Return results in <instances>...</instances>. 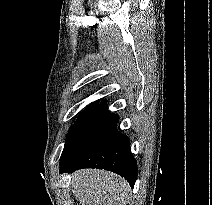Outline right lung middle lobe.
<instances>
[{
  "mask_svg": "<svg viewBox=\"0 0 212 205\" xmlns=\"http://www.w3.org/2000/svg\"><path fill=\"white\" fill-rule=\"evenodd\" d=\"M99 101H96L94 103H91L87 108L82 112V114L79 116L78 120L75 122L74 125L71 126L68 132V138L65 142L64 150L62 154L66 152V150L70 147L74 139L77 137V135L80 133V131L83 129L85 124L89 121V119L92 117L94 112L96 111L98 107Z\"/></svg>",
  "mask_w": 212,
  "mask_h": 205,
  "instance_id": "1",
  "label": "right lung middle lobe"
}]
</instances>
